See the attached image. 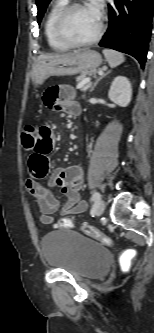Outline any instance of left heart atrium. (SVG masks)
Here are the masks:
<instances>
[{
  "label": "left heart atrium",
  "instance_id": "1",
  "mask_svg": "<svg viewBox=\"0 0 154 333\" xmlns=\"http://www.w3.org/2000/svg\"><path fill=\"white\" fill-rule=\"evenodd\" d=\"M94 12H96L98 15L100 14V7L101 2L100 0H91L90 4L88 5Z\"/></svg>",
  "mask_w": 154,
  "mask_h": 333
}]
</instances>
